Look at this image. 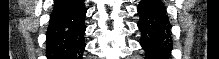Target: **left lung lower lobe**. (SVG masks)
Returning a JSON list of instances; mask_svg holds the SVG:
<instances>
[{
	"mask_svg": "<svg viewBox=\"0 0 219 59\" xmlns=\"http://www.w3.org/2000/svg\"><path fill=\"white\" fill-rule=\"evenodd\" d=\"M141 46L146 59H168L172 50L171 25L164 4L159 0H142L137 8Z\"/></svg>",
	"mask_w": 219,
	"mask_h": 59,
	"instance_id": "1",
	"label": "left lung lower lobe"
}]
</instances>
